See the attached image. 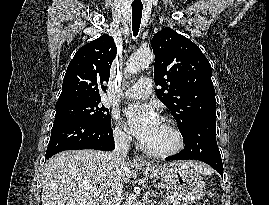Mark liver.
I'll list each match as a JSON object with an SVG mask.
<instances>
[{
  "mask_svg": "<svg viewBox=\"0 0 269 205\" xmlns=\"http://www.w3.org/2000/svg\"><path fill=\"white\" fill-rule=\"evenodd\" d=\"M108 154L97 150H73L56 154L45 165L42 181V205H99L112 184H123L131 178L133 165L122 171L112 168ZM186 164L197 172H207L204 164ZM97 189L98 195L86 189Z\"/></svg>",
  "mask_w": 269,
  "mask_h": 205,
  "instance_id": "liver-1",
  "label": "liver"
}]
</instances>
